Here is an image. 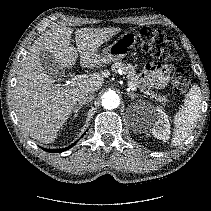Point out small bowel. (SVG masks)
<instances>
[{
  "instance_id": "obj_1",
  "label": "small bowel",
  "mask_w": 211,
  "mask_h": 211,
  "mask_svg": "<svg viewBox=\"0 0 211 211\" xmlns=\"http://www.w3.org/2000/svg\"><path fill=\"white\" fill-rule=\"evenodd\" d=\"M169 71V68L161 63L148 62L142 73V78L151 87L161 89L167 83Z\"/></svg>"
}]
</instances>
